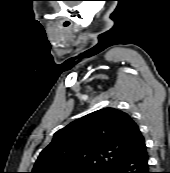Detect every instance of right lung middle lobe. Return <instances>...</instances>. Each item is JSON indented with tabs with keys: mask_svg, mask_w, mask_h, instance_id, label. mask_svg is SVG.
<instances>
[{
	"mask_svg": "<svg viewBox=\"0 0 170 173\" xmlns=\"http://www.w3.org/2000/svg\"><path fill=\"white\" fill-rule=\"evenodd\" d=\"M106 169H88V170H79L72 171V173H104Z\"/></svg>",
	"mask_w": 170,
	"mask_h": 173,
	"instance_id": "right-lung-middle-lobe-1",
	"label": "right lung middle lobe"
}]
</instances>
